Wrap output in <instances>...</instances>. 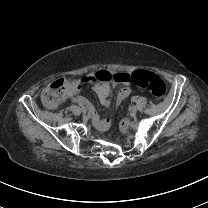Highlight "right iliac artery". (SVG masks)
Wrapping results in <instances>:
<instances>
[{
    "mask_svg": "<svg viewBox=\"0 0 208 208\" xmlns=\"http://www.w3.org/2000/svg\"><path fill=\"white\" fill-rule=\"evenodd\" d=\"M79 106L82 108H84V105L82 103H79Z\"/></svg>",
    "mask_w": 208,
    "mask_h": 208,
    "instance_id": "82829eb1",
    "label": "right iliac artery"
}]
</instances>
